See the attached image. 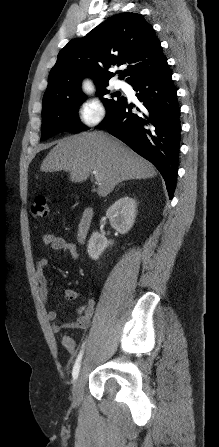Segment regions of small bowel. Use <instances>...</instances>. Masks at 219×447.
Here are the masks:
<instances>
[{
  "label": "small bowel",
  "instance_id": "obj_1",
  "mask_svg": "<svg viewBox=\"0 0 219 447\" xmlns=\"http://www.w3.org/2000/svg\"><path fill=\"white\" fill-rule=\"evenodd\" d=\"M42 244L45 246H50L55 251L68 252L73 260L79 258V252L77 246L74 242L69 241L61 236H56L54 234H44L41 238ZM49 262L46 258H40L36 262V276L39 283V291L41 296L45 301L48 300L50 288L48 280L45 276V270L48 267ZM80 293L74 289H66L64 291V299L67 302H72L80 297ZM95 311V301L93 298L89 297L86 299L85 303L79 306L75 313L77 315L76 320L68 323H59L57 321V312L55 310H49L47 312V320L51 323V329L54 333H59L63 329H87L91 323L92 317ZM62 345L66 350L75 354L76 344L74 340L67 335L61 338Z\"/></svg>",
  "mask_w": 219,
  "mask_h": 447
}]
</instances>
